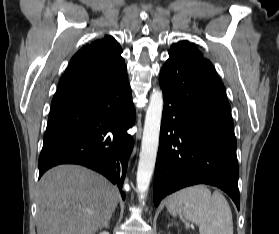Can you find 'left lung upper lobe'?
<instances>
[{
    "mask_svg": "<svg viewBox=\"0 0 279 234\" xmlns=\"http://www.w3.org/2000/svg\"><path fill=\"white\" fill-rule=\"evenodd\" d=\"M171 47H178V48H186L192 52H194L195 54H197L198 56H202L201 53H199L198 49L196 48V46L194 44H190L188 41H181L178 44H173Z\"/></svg>",
    "mask_w": 279,
    "mask_h": 234,
    "instance_id": "left-lung-upper-lobe-1",
    "label": "left lung upper lobe"
}]
</instances>
